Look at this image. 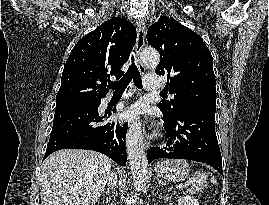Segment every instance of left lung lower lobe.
<instances>
[{"mask_svg":"<svg viewBox=\"0 0 269 205\" xmlns=\"http://www.w3.org/2000/svg\"><path fill=\"white\" fill-rule=\"evenodd\" d=\"M215 112L216 108L210 106H196L174 115L162 111L168 143L164 148H151L148 163L160 158L188 159L206 163L223 175Z\"/></svg>","mask_w":269,"mask_h":205,"instance_id":"1","label":"left lung lower lobe"}]
</instances>
